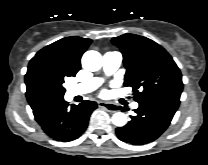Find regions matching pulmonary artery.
I'll return each mask as SVG.
<instances>
[{"label":"pulmonary artery","mask_w":208,"mask_h":165,"mask_svg":"<svg viewBox=\"0 0 208 165\" xmlns=\"http://www.w3.org/2000/svg\"><path fill=\"white\" fill-rule=\"evenodd\" d=\"M122 62V55L119 52L111 51L107 52L103 56V69L106 74L114 73ZM102 80L100 78H91L81 84L71 86L69 88V93L72 96L83 95L95 90L100 84ZM133 109L138 108V103L134 102L132 104Z\"/></svg>","instance_id":"1"}]
</instances>
